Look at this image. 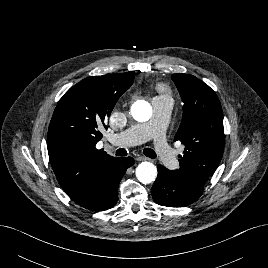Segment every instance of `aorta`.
<instances>
[{
  "label": "aorta",
  "mask_w": 268,
  "mask_h": 268,
  "mask_svg": "<svg viewBox=\"0 0 268 268\" xmlns=\"http://www.w3.org/2000/svg\"><path fill=\"white\" fill-rule=\"evenodd\" d=\"M131 115L138 122H146L152 116V107L145 100H137L131 107ZM136 177L143 184L155 181L157 168L150 162H142L136 168Z\"/></svg>",
  "instance_id": "aorta-1"
}]
</instances>
